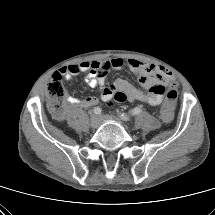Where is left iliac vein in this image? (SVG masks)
Wrapping results in <instances>:
<instances>
[{"mask_svg":"<svg viewBox=\"0 0 215 215\" xmlns=\"http://www.w3.org/2000/svg\"><path fill=\"white\" fill-rule=\"evenodd\" d=\"M99 118L102 121H116V122H120V119L118 117L112 116V115H102Z\"/></svg>","mask_w":215,"mask_h":215,"instance_id":"1","label":"left iliac vein"}]
</instances>
